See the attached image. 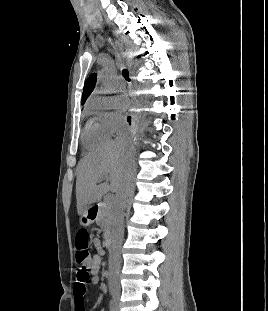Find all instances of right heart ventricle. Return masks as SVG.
<instances>
[{
	"mask_svg": "<svg viewBox=\"0 0 268 311\" xmlns=\"http://www.w3.org/2000/svg\"><path fill=\"white\" fill-rule=\"evenodd\" d=\"M82 140L86 148L94 149L105 145L110 140V135L98 122L89 120L85 125Z\"/></svg>",
	"mask_w": 268,
	"mask_h": 311,
	"instance_id": "obj_1",
	"label": "right heart ventricle"
}]
</instances>
